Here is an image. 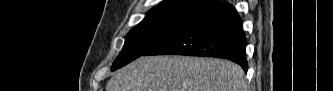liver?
Segmentation results:
<instances>
[{"instance_id": "6515ba94", "label": "liver", "mask_w": 333, "mask_h": 91, "mask_svg": "<svg viewBox=\"0 0 333 91\" xmlns=\"http://www.w3.org/2000/svg\"><path fill=\"white\" fill-rule=\"evenodd\" d=\"M106 91H247L243 69L228 60L140 57L112 77Z\"/></svg>"}]
</instances>
